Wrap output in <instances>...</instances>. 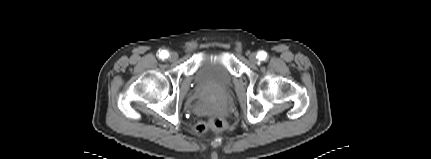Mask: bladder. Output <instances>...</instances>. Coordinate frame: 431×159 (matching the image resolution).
Masks as SVG:
<instances>
[{"label":"bladder","mask_w":431,"mask_h":159,"mask_svg":"<svg viewBox=\"0 0 431 159\" xmlns=\"http://www.w3.org/2000/svg\"><path fill=\"white\" fill-rule=\"evenodd\" d=\"M194 82L202 92L227 93L233 86V75L225 53L205 55L196 67Z\"/></svg>","instance_id":"obj_1"}]
</instances>
